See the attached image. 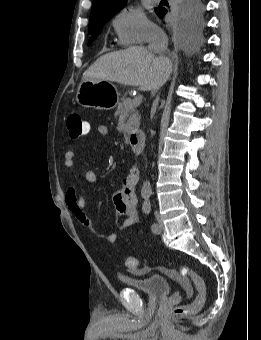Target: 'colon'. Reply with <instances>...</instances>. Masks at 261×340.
<instances>
[{"instance_id":"colon-1","label":"colon","mask_w":261,"mask_h":340,"mask_svg":"<svg viewBox=\"0 0 261 340\" xmlns=\"http://www.w3.org/2000/svg\"><path fill=\"white\" fill-rule=\"evenodd\" d=\"M66 126L68 129L69 137L72 140H78L85 135L84 121L81 116L72 112L69 114ZM125 266L134 272H138L139 261L134 257H126L124 259ZM178 272L187 283H192L196 289V296L191 304L185 306H177L173 308L172 314L175 316L182 314H191L199 311L205 304L206 301V285L202 277L186 265H179Z\"/></svg>"}]
</instances>
